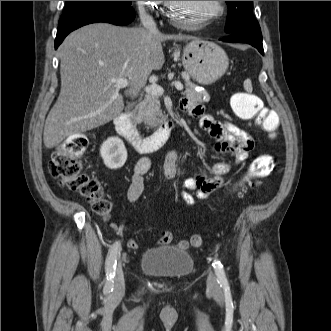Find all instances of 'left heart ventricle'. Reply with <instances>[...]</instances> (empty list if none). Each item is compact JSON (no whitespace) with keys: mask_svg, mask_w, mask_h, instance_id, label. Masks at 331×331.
Masks as SVG:
<instances>
[{"mask_svg":"<svg viewBox=\"0 0 331 331\" xmlns=\"http://www.w3.org/2000/svg\"><path fill=\"white\" fill-rule=\"evenodd\" d=\"M217 10V1H174V16L182 22L197 23Z\"/></svg>","mask_w":331,"mask_h":331,"instance_id":"obj_1","label":"left heart ventricle"}]
</instances>
